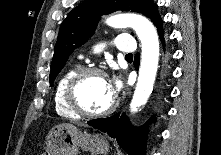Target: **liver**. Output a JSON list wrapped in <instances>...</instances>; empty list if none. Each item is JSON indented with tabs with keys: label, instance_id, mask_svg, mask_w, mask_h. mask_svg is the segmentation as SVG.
Listing matches in <instances>:
<instances>
[{
	"label": "liver",
	"instance_id": "6515ba94",
	"mask_svg": "<svg viewBox=\"0 0 221 155\" xmlns=\"http://www.w3.org/2000/svg\"><path fill=\"white\" fill-rule=\"evenodd\" d=\"M77 125H78V126H85L84 124H81V123H77Z\"/></svg>",
	"mask_w": 221,
	"mask_h": 155
}]
</instances>
